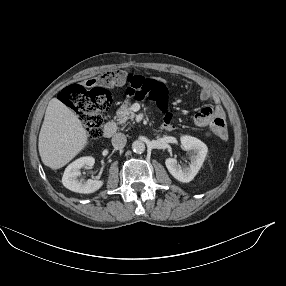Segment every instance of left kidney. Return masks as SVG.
I'll return each mask as SVG.
<instances>
[{"label":"left kidney","instance_id":"5707ae66","mask_svg":"<svg viewBox=\"0 0 286 286\" xmlns=\"http://www.w3.org/2000/svg\"><path fill=\"white\" fill-rule=\"evenodd\" d=\"M181 144L186 150L192 151V159L189 167L182 168L174 158H167L165 164L175 179L183 183H188L194 179L200 170L207 155L208 148L201 140L191 136L181 137Z\"/></svg>","mask_w":286,"mask_h":286}]
</instances>
